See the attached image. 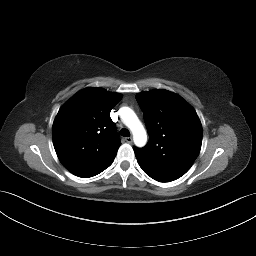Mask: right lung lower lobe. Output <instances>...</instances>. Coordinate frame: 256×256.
<instances>
[{"label": "right lung lower lobe", "instance_id": "1", "mask_svg": "<svg viewBox=\"0 0 256 256\" xmlns=\"http://www.w3.org/2000/svg\"><path fill=\"white\" fill-rule=\"evenodd\" d=\"M113 160H110L106 163L100 164V165L95 166V167H91V168H88V169L81 170L77 173H74V175L82 177V178H88V177L95 176V175L101 173L102 171H104L106 168H108L112 164Z\"/></svg>", "mask_w": 256, "mask_h": 256}]
</instances>
